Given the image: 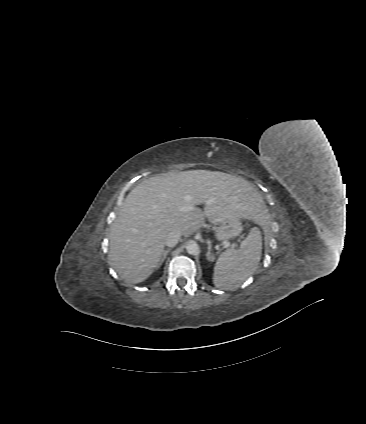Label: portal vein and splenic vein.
<instances>
[{
  "label": "portal vein and splenic vein",
  "instance_id": "obj_1",
  "mask_svg": "<svg viewBox=\"0 0 366 424\" xmlns=\"http://www.w3.org/2000/svg\"><path fill=\"white\" fill-rule=\"evenodd\" d=\"M230 244L228 242H224V248H228Z\"/></svg>",
  "mask_w": 366,
  "mask_h": 424
}]
</instances>
